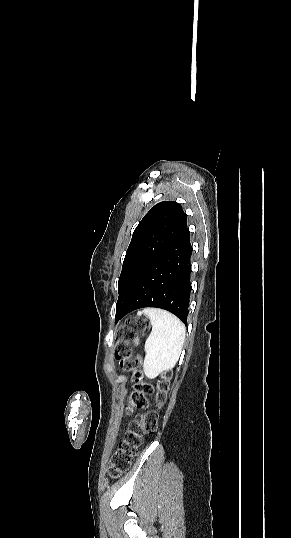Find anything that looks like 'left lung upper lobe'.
Segmentation results:
<instances>
[{"instance_id": "left-lung-upper-lobe-1", "label": "left lung upper lobe", "mask_w": 291, "mask_h": 538, "mask_svg": "<svg viewBox=\"0 0 291 538\" xmlns=\"http://www.w3.org/2000/svg\"><path fill=\"white\" fill-rule=\"evenodd\" d=\"M186 229L187 215L177 202L163 201L149 210L134 230L127 249L116 308L126 304L148 268Z\"/></svg>"}]
</instances>
